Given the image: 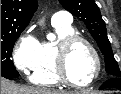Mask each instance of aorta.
<instances>
[{
  "label": "aorta",
  "mask_w": 121,
  "mask_h": 94,
  "mask_svg": "<svg viewBox=\"0 0 121 94\" xmlns=\"http://www.w3.org/2000/svg\"><path fill=\"white\" fill-rule=\"evenodd\" d=\"M54 38H55L54 35H52V34L48 35L49 40H54Z\"/></svg>",
  "instance_id": "762f6f07"
}]
</instances>
